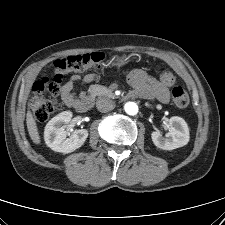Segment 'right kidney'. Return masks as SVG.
I'll list each match as a JSON object with an SVG mask.
<instances>
[{"label":"right kidney","mask_w":225,"mask_h":225,"mask_svg":"<svg viewBox=\"0 0 225 225\" xmlns=\"http://www.w3.org/2000/svg\"><path fill=\"white\" fill-rule=\"evenodd\" d=\"M72 119V112L64 111L53 117L46 125L44 130V140L48 147L55 152L71 153L80 148L88 137L86 129L73 132L67 138V124Z\"/></svg>","instance_id":"right-kidney-1"}]
</instances>
